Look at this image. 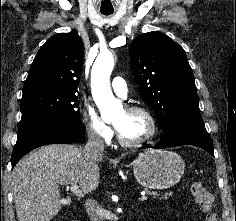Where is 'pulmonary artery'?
I'll return each instance as SVG.
<instances>
[{
    "mask_svg": "<svg viewBox=\"0 0 236 221\" xmlns=\"http://www.w3.org/2000/svg\"><path fill=\"white\" fill-rule=\"evenodd\" d=\"M112 89L120 97H125L128 92V85L122 77H114L111 83Z\"/></svg>",
    "mask_w": 236,
    "mask_h": 221,
    "instance_id": "pulmonary-artery-1",
    "label": "pulmonary artery"
}]
</instances>
